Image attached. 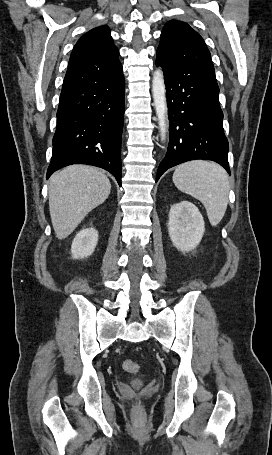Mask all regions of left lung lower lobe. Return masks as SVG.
I'll list each match as a JSON object with an SVG mask.
<instances>
[{
    "mask_svg": "<svg viewBox=\"0 0 272 455\" xmlns=\"http://www.w3.org/2000/svg\"><path fill=\"white\" fill-rule=\"evenodd\" d=\"M164 72L170 141L156 182L169 168L195 160H212L230 174L228 140L214 68L185 65L171 68L156 58Z\"/></svg>",
    "mask_w": 272,
    "mask_h": 455,
    "instance_id": "obj_1",
    "label": "left lung lower lobe"
}]
</instances>
